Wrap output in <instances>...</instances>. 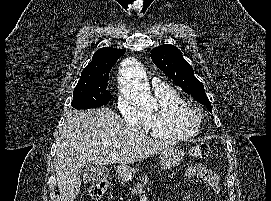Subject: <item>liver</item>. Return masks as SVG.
I'll return each instance as SVG.
<instances>
[{
	"mask_svg": "<svg viewBox=\"0 0 271 201\" xmlns=\"http://www.w3.org/2000/svg\"><path fill=\"white\" fill-rule=\"evenodd\" d=\"M170 145L171 141L149 137L141 128L126 124L109 108L70 111L56 141L60 201H74L79 194L82 165L133 164Z\"/></svg>",
	"mask_w": 271,
	"mask_h": 201,
	"instance_id": "liver-1",
	"label": "liver"
}]
</instances>
